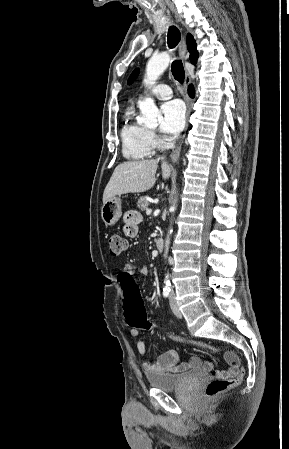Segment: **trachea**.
<instances>
[{
    "mask_svg": "<svg viewBox=\"0 0 289 449\" xmlns=\"http://www.w3.org/2000/svg\"><path fill=\"white\" fill-rule=\"evenodd\" d=\"M181 35L180 31L175 26H170L167 35V44L168 47L173 49L180 42ZM171 72L174 78L179 82L183 83L185 79V71L181 60H174L171 65Z\"/></svg>",
    "mask_w": 289,
    "mask_h": 449,
    "instance_id": "trachea-1",
    "label": "trachea"
}]
</instances>
